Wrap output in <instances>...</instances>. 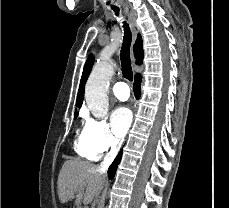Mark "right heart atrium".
Returning <instances> with one entry per match:
<instances>
[{
	"label": "right heart atrium",
	"instance_id": "d8ad5b80",
	"mask_svg": "<svg viewBox=\"0 0 229 208\" xmlns=\"http://www.w3.org/2000/svg\"><path fill=\"white\" fill-rule=\"evenodd\" d=\"M81 137L85 145L97 155L121 144L106 121L95 117H86Z\"/></svg>",
	"mask_w": 229,
	"mask_h": 208
}]
</instances>
